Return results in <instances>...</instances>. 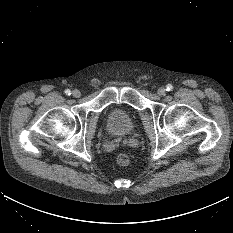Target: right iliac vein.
Masks as SVG:
<instances>
[{
    "label": "right iliac vein",
    "instance_id": "1",
    "mask_svg": "<svg viewBox=\"0 0 233 233\" xmlns=\"http://www.w3.org/2000/svg\"><path fill=\"white\" fill-rule=\"evenodd\" d=\"M72 95L77 98L80 97L81 92L78 89H75L72 91Z\"/></svg>",
    "mask_w": 233,
    "mask_h": 233
}]
</instances>
